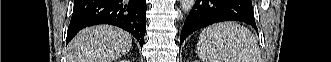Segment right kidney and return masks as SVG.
Wrapping results in <instances>:
<instances>
[{"label":"right kidney","instance_id":"obj_1","mask_svg":"<svg viewBox=\"0 0 331 62\" xmlns=\"http://www.w3.org/2000/svg\"><path fill=\"white\" fill-rule=\"evenodd\" d=\"M121 62H129V60H122Z\"/></svg>","mask_w":331,"mask_h":62}]
</instances>
